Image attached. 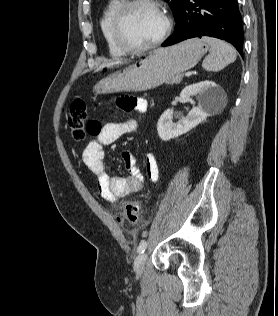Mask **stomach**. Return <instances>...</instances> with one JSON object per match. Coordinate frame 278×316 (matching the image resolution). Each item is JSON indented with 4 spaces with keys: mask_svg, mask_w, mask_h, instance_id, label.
I'll list each match as a JSON object with an SVG mask.
<instances>
[{
    "mask_svg": "<svg viewBox=\"0 0 278 316\" xmlns=\"http://www.w3.org/2000/svg\"><path fill=\"white\" fill-rule=\"evenodd\" d=\"M206 51V44L197 38L156 49L138 63L103 78L94 90L98 93L138 92L156 88L194 67Z\"/></svg>",
    "mask_w": 278,
    "mask_h": 316,
    "instance_id": "1",
    "label": "stomach"
}]
</instances>
